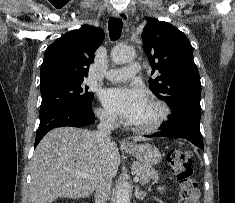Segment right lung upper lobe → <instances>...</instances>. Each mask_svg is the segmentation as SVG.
Returning <instances> with one entry per match:
<instances>
[{
	"label": "right lung upper lobe",
	"instance_id": "1",
	"mask_svg": "<svg viewBox=\"0 0 235 203\" xmlns=\"http://www.w3.org/2000/svg\"><path fill=\"white\" fill-rule=\"evenodd\" d=\"M104 38L101 28L83 25L55 40L45 51L40 85L63 80H83Z\"/></svg>",
	"mask_w": 235,
	"mask_h": 203
}]
</instances>
